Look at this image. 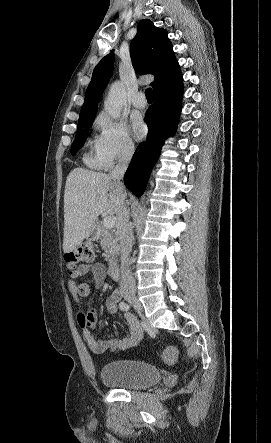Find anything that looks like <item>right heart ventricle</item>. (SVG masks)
<instances>
[{
    "label": "right heart ventricle",
    "mask_w": 271,
    "mask_h": 443,
    "mask_svg": "<svg viewBox=\"0 0 271 443\" xmlns=\"http://www.w3.org/2000/svg\"><path fill=\"white\" fill-rule=\"evenodd\" d=\"M84 161L92 168H101L104 166L102 161L96 155L86 154L84 156Z\"/></svg>",
    "instance_id": "1"
}]
</instances>
